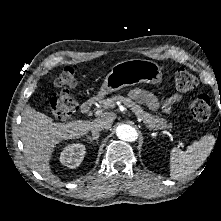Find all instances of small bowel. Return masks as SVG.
Returning <instances> with one entry per match:
<instances>
[{"label":"small bowel","mask_w":221,"mask_h":221,"mask_svg":"<svg viewBox=\"0 0 221 221\" xmlns=\"http://www.w3.org/2000/svg\"><path fill=\"white\" fill-rule=\"evenodd\" d=\"M129 95L132 99L144 104L151 110H156L159 107L164 112H169L170 108L173 104L181 101L182 94L176 93L172 95L170 98L166 99L162 104L158 102L156 97L148 90L142 88H134L129 92Z\"/></svg>","instance_id":"1"}]
</instances>
